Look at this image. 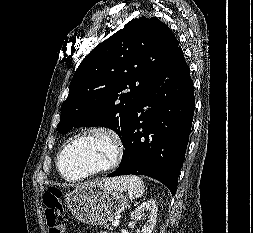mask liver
<instances>
[{"mask_svg":"<svg viewBox=\"0 0 253 233\" xmlns=\"http://www.w3.org/2000/svg\"><path fill=\"white\" fill-rule=\"evenodd\" d=\"M96 183L104 184V185L106 186L107 184H109V180L98 181V182H96Z\"/></svg>","mask_w":253,"mask_h":233,"instance_id":"obj_1","label":"liver"}]
</instances>
